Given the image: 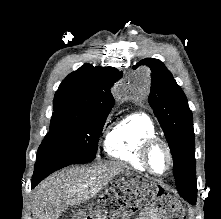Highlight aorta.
<instances>
[{
	"mask_svg": "<svg viewBox=\"0 0 221 219\" xmlns=\"http://www.w3.org/2000/svg\"><path fill=\"white\" fill-rule=\"evenodd\" d=\"M135 81L140 87H146L149 83V71L140 70L135 76Z\"/></svg>",
	"mask_w": 221,
	"mask_h": 219,
	"instance_id": "aorta-1",
	"label": "aorta"
}]
</instances>
